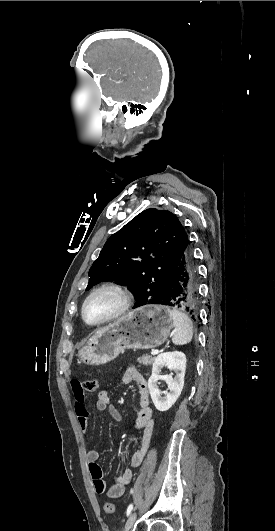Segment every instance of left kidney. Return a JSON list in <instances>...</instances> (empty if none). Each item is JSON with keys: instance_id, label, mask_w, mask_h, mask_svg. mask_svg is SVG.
Masks as SVG:
<instances>
[{"instance_id": "1", "label": "left kidney", "mask_w": 275, "mask_h": 531, "mask_svg": "<svg viewBox=\"0 0 275 531\" xmlns=\"http://www.w3.org/2000/svg\"><path fill=\"white\" fill-rule=\"evenodd\" d=\"M162 367H168L171 371H175L176 377L173 379L172 375H160ZM185 371L186 357L184 353L173 351V353H161L156 357L152 367V375L148 379V389L157 411H168L176 403L184 387ZM157 381L167 383L170 393H164L165 397H161L162 393L158 389Z\"/></svg>"}]
</instances>
